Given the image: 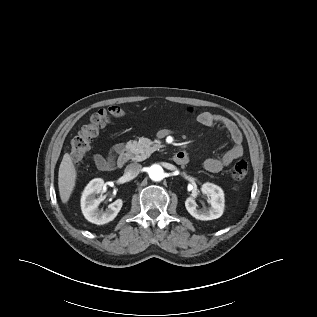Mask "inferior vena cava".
Here are the masks:
<instances>
[{
	"instance_id": "602c4592",
	"label": "inferior vena cava",
	"mask_w": 317,
	"mask_h": 317,
	"mask_svg": "<svg viewBox=\"0 0 317 317\" xmlns=\"http://www.w3.org/2000/svg\"><path fill=\"white\" fill-rule=\"evenodd\" d=\"M141 168H142L141 164L131 163L127 165V167L125 168V174L130 178H134L139 174V172L141 171Z\"/></svg>"
}]
</instances>
